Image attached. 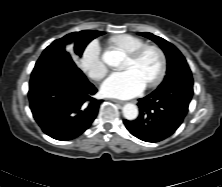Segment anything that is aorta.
<instances>
[{
    "instance_id": "762f6f07",
    "label": "aorta",
    "mask_w": 222,
    "mask_h": 187,
    "mask_svg": "<svg viewBox=\"0 0 222 187\" xmlns=\"http://www.w3.org/2000/svg\"><path fill=\"white\" fill-rule=\"evenodd\" d=\"M122 59V54L119 51H106L102 55L103 62L109 66H118ZM122 111L127 120H135L138 117V108L132 103L124 105Z\"/></svg>"
}]
</instances>
